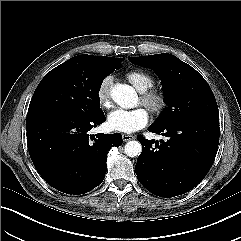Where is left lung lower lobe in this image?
<instances>
[{
	"mask_svg": "<svg viewBox=\"0 0 241 241\" xmlns=\"http://www.w3.org/2000/svg\"><path fill=\"white\" fill-rule=\"evenodd\" d=\"M148 130L168 140L137 137L143 148L135 166L139 182L161 197L182 195L197 186L214 162L219 121L190 119Z\"/></svg>",
	"mask_w": 241,
	"mask_h": 241,
	"instance_id": "obj_1",
	"label": "left lung lower lobe"
}]
</instances>
